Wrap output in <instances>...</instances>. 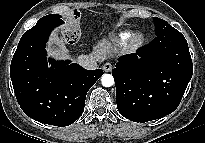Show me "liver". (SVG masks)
<instances>
[{"instance_id": "6515ba94", "label": "liver", "mask_w": 205, "mask_h": 143, "mask_svg": "<svg viewBox=\"0 0 205 143\" xmlns=\"http://www.w3.org/2000/svg\"><path fill=\"white\" fill-rule=\"evenodd\" d=\"M115 42V39H107L103 37L93 46L89 56H93L97 62H102L109 57H113L118 52Z\"/></svg>"}]
</instances>
